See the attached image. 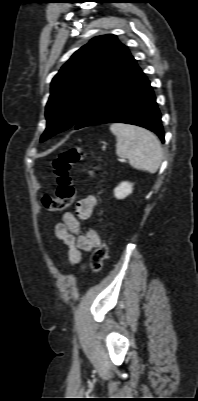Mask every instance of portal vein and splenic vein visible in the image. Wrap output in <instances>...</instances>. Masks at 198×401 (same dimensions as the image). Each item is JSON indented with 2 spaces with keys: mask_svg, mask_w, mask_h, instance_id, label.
<instances>
[{
  "mask_svg": "<svg viewBox=\"0 0 198 401\" xmlns=\"http://www.w3.org/2000/svg\"><path fill=\"white\" fill-rule=\"evenodd\" d=\"M119 161H120V162H124L125 160H124V159H122V158H120V159H119Z\"/></svg>",
  "mask_w": 198,
  "mask_h": 401,
  "instance_id": "18ae733b",
  "label": "portal vein and splenic vein"
}]
</instances>
